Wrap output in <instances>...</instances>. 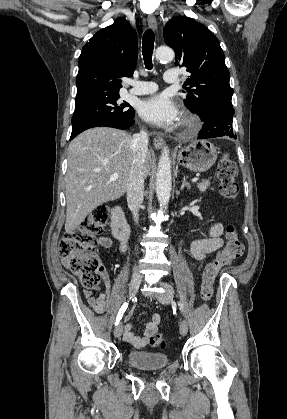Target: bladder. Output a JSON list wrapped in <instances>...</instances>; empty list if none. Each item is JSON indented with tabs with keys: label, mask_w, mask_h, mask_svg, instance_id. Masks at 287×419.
I'll use <instances>...</instances> for the list:
<instances>
[{
	"label": "bladder",
	"mask_w": 287,
	"mask_h": 419,
	"mask_svg": "<svg viewBox=\"0 0 287 419\" xmlns=\"http://www.w3.org/2000/svg\"><path fill=\"white\" fill-rule=\"evenodd\" d=\"M127 361L135 368L156 370L164 368L168 364L169 358L167 355L161 353L134 350L128 352Z\"/></svg>",
	"instance_id": "1"
}]
</instances>
